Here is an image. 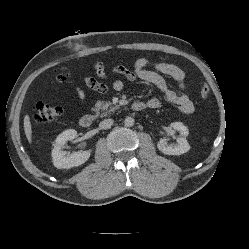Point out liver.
<instances>
[{"label": "liver", "mask_w": 249, "mask_h": 249, "mask_svg": "<svg viewBox=\"0 0 249 249\" xmlns=\"http://www.w3.org/2000/svg\"><path fill=\"white\" fill-rule=\"evenodd\" d=\"M24 131L29 143H32V126L28 114L24 117Z\"/></svg>", "instance_id": "1"}]
</instances>
